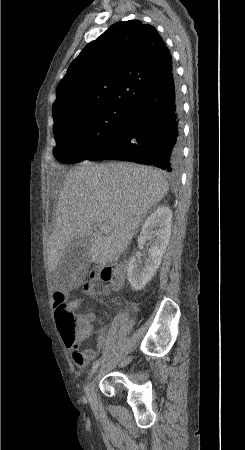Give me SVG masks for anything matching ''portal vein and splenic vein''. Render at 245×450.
Listing matches in <instances>:
<instances>
[{
    "label": "portal vein and splenic vein",
    "mask_w": 245,
    "mask_h": 450,
    "mask_svg": "<svg viewBox=\"0 0 245 450\" xmlns=\"http://www.w3.org/2000/svg\"><path fill=\"white\" fill-rule=\"evenodd\" d=\"M98 228H99L100 232H103V233H106V234L111 232V228L107 224H100L98 226Z\"/></svg>",
    "instance_id": "1"
}]
</instances>
